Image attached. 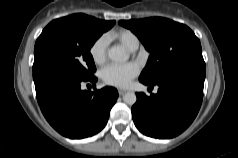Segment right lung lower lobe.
<instances>
[{"mask_svg":"<svg viewBox=\"0 0 238 158\" xmlns=\"http://www.w3.org/2000/svg\"><path fill=\"white\" fill-rule=\"evenodd\" d=\"M33 79L43 115L60 134L72 139L100 132L118 98L113 87L83 90V83L94 84L97 78L85 79L52 63L33 66Z\"/></svg>","mask_w":238,"mask_h":158,"instance_id":"obj_1","label":"right lung lower lobe"}]
</instances>
